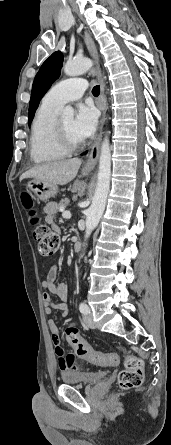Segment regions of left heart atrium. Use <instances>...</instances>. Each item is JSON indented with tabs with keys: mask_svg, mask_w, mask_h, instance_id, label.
Instances as JSON below:
<instances>
[{
	"mask_svg": "<svg viewBox=\"0 0 171 445\" xmlns=\"http://www.w3.org/2000/svg\"><path fill=\"white\" fill-rule=\"evenodd\" d=\"M98 112L92 105H79L73 120L75 134L81 139L90 137L96 130Z\"/></svg>",
	"mask_w": 171,
	"mask_h": 445,
	"instance_id": "left-heart-atrium-1",
	"label": "left heart atrium"
}]
</instances>
